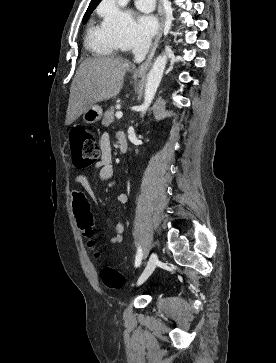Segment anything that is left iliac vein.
Instances as JSON below:
<instances>
[{
	"instance_id": "4c4485c4",
	"label": "left iliac vein",
	"mask_w": 276,
	"mask_h": 363,
	"mask_svg": "<svg viewBox=\"0 0 276 363\" xmlns=\"http://www.w3.org/2000/svg\"><path fill=\"white\" fill-rule=\"evenodd\" d=\"M158 263V256L156 253H152L149 257L148 263L142 274L138 279V285L142 284L154 271L156 265Z\"/></svg>"
}]
</instances>
